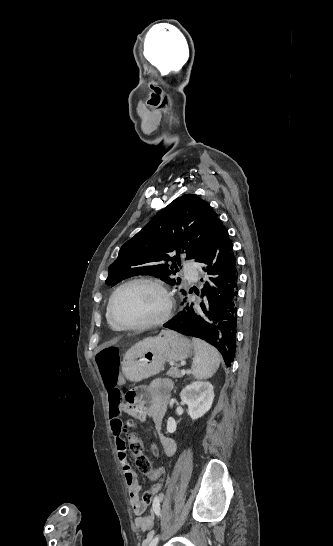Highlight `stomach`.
Returning <instances> with one entry per match:
<instances>
[{
  "mask_svg": "<svg viewBox=\"0 0 333 546\" xmlns=\"http://www.w3.org/2000/svg\"><path fill=\"white\" fill-rule=\"evenodd\" d=\"M192 343L183 335L170 330L156 337H146L133 345L121 361L127 379L140 382L159 374L166 361H182L192 354Z\"/></svg>",
  "mask_w": 333,
  "mask_h": 546,
  "instance_id": "stomach-1",
  "label": "stomach"
}]
</instances>
